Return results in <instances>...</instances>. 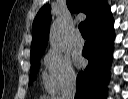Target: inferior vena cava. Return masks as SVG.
<instances>
[{"label": "inferior vena cava", "mask_w": 128, "mask_h": 99, "mask_svg": "<svg viewBox=\"0 0 128 99\" xmlns=\"http://www.w3.org/2000/svg\"><path fill=\"white\" fill-rule=\"evenodd\" d=\"M76 93V79L72 77L68 80L62 92L61 99H74Z\"/></svg>", "instance_id": "1"}]
</instances>
